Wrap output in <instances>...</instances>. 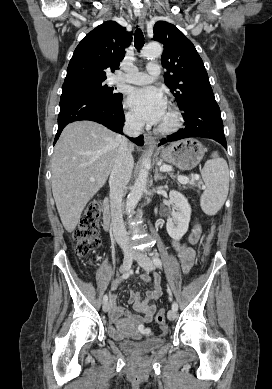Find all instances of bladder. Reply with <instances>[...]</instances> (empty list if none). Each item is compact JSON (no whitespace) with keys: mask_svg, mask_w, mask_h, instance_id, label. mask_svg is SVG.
I'll return each mask as SVG.
<instances>
[{"mask_svg":"<svg viewBox=\"0 0 272 389\" xmlns=\"http://www.w3.org/2000/svg\"><path fill=\"white\" fill-rule=\"evenodd\" d=\"M109 335L115 339L123 351L131 355L149 354L159 349L165 343L163 338H149L142 341L119 340L111 329H109Z\"/></svg>","mask_w":272,"mask_h":389,"instance_id":"bladder-1","label":"bladder"}]
</instances>
